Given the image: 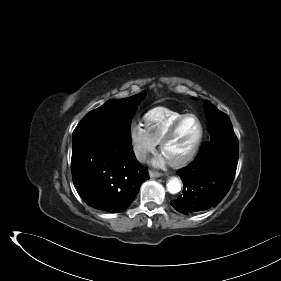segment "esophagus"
Segmentation results:
<instances>
[{
  "instance_id": "esophagus-1",
  "label": "esophagus",
  "mask_w": 281,
  "mask_h": 281,
  "mask_svg": "<svg viewBox=\"0 0 281 281\" xmlns=\"http://www.w3.org/2000/svg\"><path fill=\"white\" fill-rule=\"evenodd\" d=\"M149 176H150L151 178H158V177L163 176V173L150 170V171H149Z\"/></svg>"
}]
</instances>
